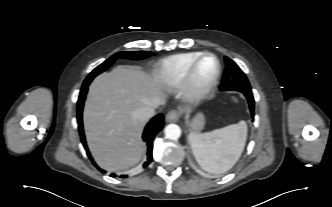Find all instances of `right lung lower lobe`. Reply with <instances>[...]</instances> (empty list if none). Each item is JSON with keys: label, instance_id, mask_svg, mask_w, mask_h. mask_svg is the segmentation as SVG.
I'll use <instances>...</instances> for the list:
<instances>
[{"label": "right lung lower lobe", "instance_id": "obj_1", "mask_svg": "<svg viewBox=\"0 0 332 207\" xmlns=\"http://www.w3.org/2000/svg\"><path fill=\"white\" fill-rule=\"evenodd\" d=\"M87 90H88V85H83L81 92H80V96L77 102V121H78V129H79V133H80V137H81V141L83 143V146L87 152L88 157L91 159L92 163L96 165V163L93 161L89 150L87 148L86 145V141H85V136H84V132H83V124H82V110H83V105H84V101L86 98V94H87ZM163 115L159 114L157 116H155L146 126L144 133H143V140L146 142L147 144V160L146 162L143 164V167H147L150 162L152 161V142L153 139L155 137V135L163 128ZM99 170L103 173H105L106 171L102 170L99 168ZM111 176H115V174H111ZM121 177H127V175H121Z\"/></svg>", "mask_w": 332, "mask_h": 207}]
</instances>
